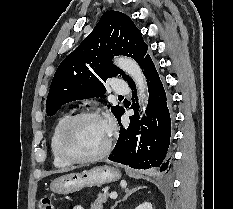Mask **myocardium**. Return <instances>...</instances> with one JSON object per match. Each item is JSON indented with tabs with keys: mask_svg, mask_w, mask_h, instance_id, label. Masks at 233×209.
Masks as SVG:
<instances>
[{
	"mask_svg": "<svg viewBox=\"0 0 233 209\" xmlns=\"http://www.w3.org/2000/svg\"><path fill=\"white\" fill-rule=\"evenodd\" d=\"M85 118H98L102 120L101 116L97 112L92 111V110H83L70 116L68 120L66 121V123L64 124L63 129L61 131V135L59 138V151H60L61 156L71 164H85V163H91V162L100 160L109 153L112 147V137H111L110 132H108V138H107L106 144L96 154H93L91 156L80 157V156L73 155L68 150L67 142H68L72 128L78 121L85 119Z\"/></svg>",
	"mask_w": 233,
	"mask_h": 209,
	"instance_id": "myocardium-1",
	"label": "myocardium"
}]
</instances>
